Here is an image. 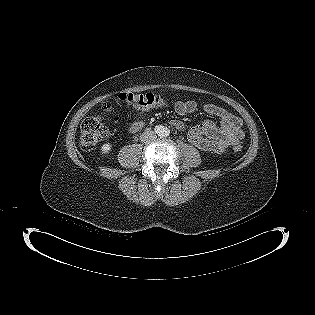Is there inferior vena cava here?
Here are the masks:
<instances>
[{
	"label": "inferior vena cava",
	"instance_id": "obj_1",
	"mask_svg": "<svg viewBox=\"0 0 315 315\" xmlns=\"http://www.w3.org/2000/svg\"><path fill=\"white\" fill-rule=\"evenodd\" d=\"M156 138V134L153 131H146L144 134L141 136L142 141H146L148 139L154 140Z\"/></svg>",
	"mask_w": 315,
	"mask_h": 315
}]
</instances>
